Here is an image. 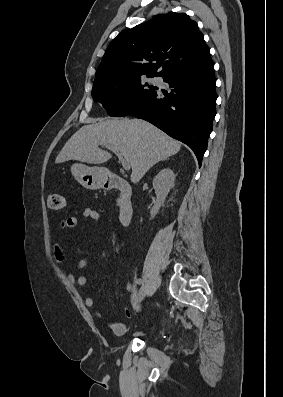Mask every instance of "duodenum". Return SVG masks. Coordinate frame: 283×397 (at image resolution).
Segmentation results:
<instances>
[{
	"mask_svg": "<svg viewBox=\"0 0 283 397\" xmlns=\"http://www.w3.org/2000/svg\"><path fill=\"white\" fill-rule=\"evenodd\" d=\"M105 187L110 190H117L121 193L119 205V221L122 225L130 224L134 214V208L131 201V187L126 180L117 175H110L105 181Z\"/></svg>",
	"mask_w": 283,
	"mask_h": 397,
	"instance_id": "1",
	"label": "duodenum"
}]
</instances>
